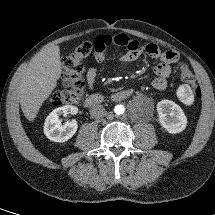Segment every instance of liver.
I'll list each match as a JSON object with an SVG mask.
<instances>
[{
	"mask_svg": "<svg viewBox=\"0 0 215 215\" xmlns=\"http://www.w3.org/2000/svg\"><path fill=\"white\" fill-rule=\"evenodd\" d=\"M61 75L60 48H43L16 77V87L24 116L33 121L43 102L57 86Z\"/></svg>",
	"mask_w": 215,
	"mask_h": 215,
	"instance_id": "6515ba94",
	"label": "liver"
}]
</instances>
